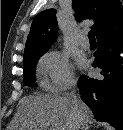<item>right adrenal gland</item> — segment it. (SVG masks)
<instances>
[{
  "label": "right adrenal gland",
  "mask_w": 123,
  "mask_h": 130,
  "mask_svg": "<svg viewBox=\"0 0 123 130\" xmlns=\"http://www.w3.org/2000/svg\"><path fill=\"white\" fill-rule=\"evenodd\" d=\"M84 130H89V127L85 128Z\"/></svg>",
  "instance_id": "obj_1"
}]
</instances>
